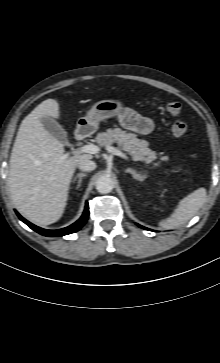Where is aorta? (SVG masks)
<instances>
[{
  "label": "aorta",
  "mask_w": 220,
  "mask_h": 363,
  "mask_svg": "<svg viewBox=\"0 0 220 363\" xmlns=\"http://www.w3.org/2000/svg\"><path fill=\"white\" fill-rule=\"evenodd\" d=\"M113 187V180L108 176H102L96 182V189L101 194L110 193Z\"/></svg>",
  "instance_id": "1"
}]
</instances>
